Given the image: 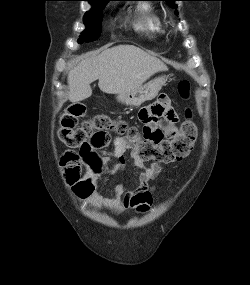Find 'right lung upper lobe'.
I'll return each instance as SVG.
<instances>
[{"label":"right lung upper lobe","instance_id":"right-lung-upper-lobe-1","mask_svg":"<svg viewBox=\"0 0 250 285\" xmlns=\"http://www.w3.org/2000/svg\"><path fill=\"white\" fill-rule=\"evenodd\" d=\"M87 1H89L90 3H101V2H108L111 0H87Z\"/></svg>","mask_w":250,"mask_h":285}]
</instances>
